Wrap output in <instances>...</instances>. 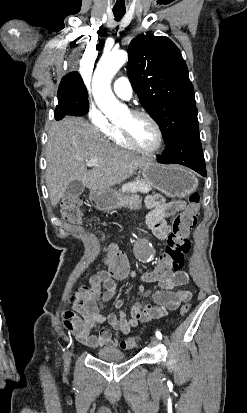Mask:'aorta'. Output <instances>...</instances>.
<instances>
[{
  "label": "aorta",
  "instance_id": "762f6f07",
  "mask_svg": "<svg viewBox=\"0 0 247 413\" xmlns=\"http://www.w3.org/2000/svg\"><path fill=\"white\" fill-rule=\"evenodd\" d=\"M128 55L125 51H112L103 54L93 76L92 91L99 108L108 118L119 117L125 110L112 93L110 84L117 71L124 65Z\"/></svg>",
  "mask_w": 247,
  "mask_h": 413
}]
</instances>
